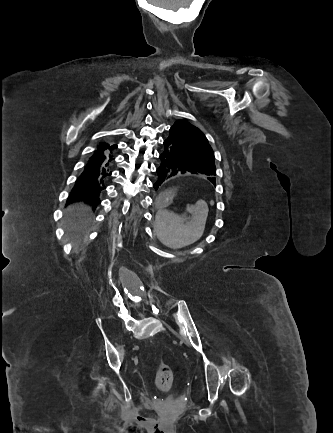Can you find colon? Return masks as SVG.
<instances>
[{"mask_svg": "<svg viewBox=\"0 0 333 433\" xmlns=\"http://www.w3.org/2000/svg\"><path fill=\"white\" fill-rule=\"evenodd\" d=\"M173 382V373L168 364L160 359L155 373V383L157 388L166 393L170 390Z\"/></svg>", "mask_w": 333, "mask_h": 433, "instance_id": "obj_1", "label": "colon"}]
</instances>
